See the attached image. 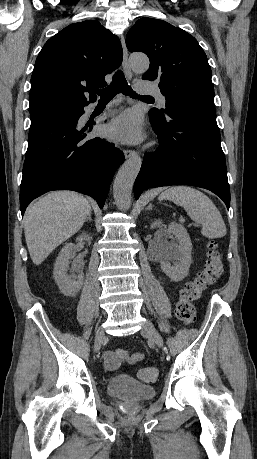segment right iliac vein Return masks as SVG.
<instances>
[{"label": "right iliac vein", "mask_w": 257, "mask_h": 459, "mask_svg": "<svg viewBox=\"0 0 257 459\" xmlns=\"http://www.w3.org/2000/svg\"><path fill=\"white\" fill-rule=\"evenodd\" d=\"M105 332H104V329L102 327H99L96 331V335H95V350L96 351H99L102 344L104 343L105 341Z\"/></svg>", "instance_id": "obj_1"}]
</instances>
